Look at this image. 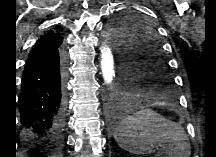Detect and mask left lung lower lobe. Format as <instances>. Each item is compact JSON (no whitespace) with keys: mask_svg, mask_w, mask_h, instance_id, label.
Here are the masks:
<instances>
[{"mask_svg":"<svg viewBox=\"0 0 216 157\" xmlns=\"http://www.w3.org/2000/svg\"><path fill=\"white\" fill-rule=\"evenodd\" d=\"M123 75L121 72V82H120V92H121V96H127L129 94H132L129 90V86L128 84L123 80ZM110 116L111 119L115 122V121H119L122 119L123 117V111L120 109L119 104H118V100L114 99L113 100V104L111 105L110 108Z\"/></svg>","mask_w":216,"mask_h":157,"instance_id":"obj_1","label":"left lung lower lobe"}]
</instances>
